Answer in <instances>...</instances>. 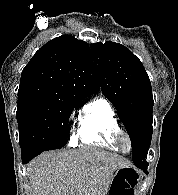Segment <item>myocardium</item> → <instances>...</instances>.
I'll return each mask as SVG.
<instances>
[{
	"label": "myocardium",
	"mask_w": 178,
	"mask_h": 195,
	"mask_svg": "<svg viewBox=\"0 0 178 195\" xmlns=\"http://www.w3.org/2000/svg\"><path fill=\"white\" fill-rule=\"evenodd\" d=\"M114 142L116 143L117 147L119 148V150L123 153H128L133 149V139L131 137V135L123 130L120 129L118 130L115 134H114ZM127 142L128 144V149H124V143Z\"/></svg>",
	"instance_id": "1"
}]
</instances>
